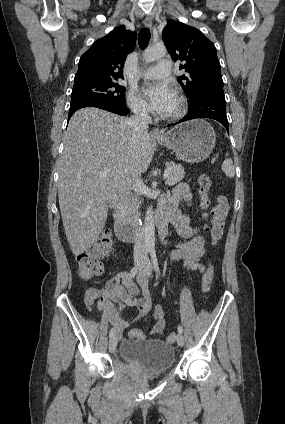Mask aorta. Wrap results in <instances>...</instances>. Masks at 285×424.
I'll return each mask as SVG.
<instances>
[{
  "mask_svg": "<svg viewBox=\"0 0 285 424\" xmlns=\"http://www.w3.org/2000/svg\"><path fill=\"white\" fill-rule=\"evenodd\" d=\"M167 49L165 46H153L145 49L143 59L146 63H150L165 57ZM144 242L148 248L155 245V225L152 206L147 208L144 222Z\"/></svg>",
  "mask_w": 285,
  "mask_h": 424,
  "instance_id": "obj_1",
  "label": "aorta"
}]
</instances>
